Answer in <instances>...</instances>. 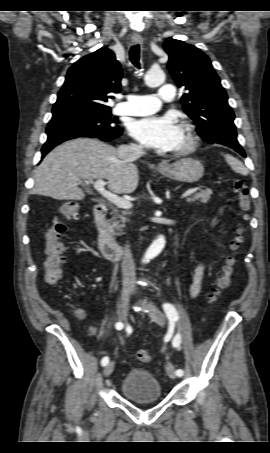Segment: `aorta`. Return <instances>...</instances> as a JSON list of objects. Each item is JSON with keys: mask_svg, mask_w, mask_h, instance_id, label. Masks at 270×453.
<instances>
[{"mask_svg": "<svg viewBox=\"0 0 270 453\" xmlns=\"http://www.w3.org/2000/svg\"><path fill=\"white\" fill-rule=\"evenodd\" d=\"M165 80V74L161 69H150L145 75V83L149 87H157L161 85ZM165 246V238L160 235L158 238L151 244L148 250L145 253L144 261H149L155 258L163 250Z\"/></svg>", "mask_w": 270, "mask_h": 453, "instance_id": "762f6f07", "label": "aorta"}]
</instances>
